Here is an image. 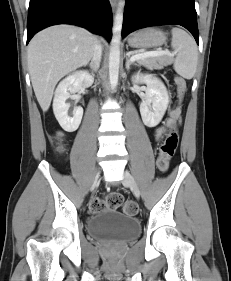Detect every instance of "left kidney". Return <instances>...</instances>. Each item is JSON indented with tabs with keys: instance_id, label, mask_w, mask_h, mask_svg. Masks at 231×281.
<instances>
[{
	"instance_id": "1",
	"label": "left kidney",
	"mask_w": 231,
	"mask_h": 281,
	"mask_svg": "<svg viewBox=\"0 0 231 281\" xmlns=\"http://www.w3.org/2000/svg\"><path fill=\"white\" fill-rule=\"evenodd\" d=\"M132 82L146 84L145 97L140 104L142 121L147 127L157 126L169 104V95L165 85L153 75L141 73L135 74Z\"/></svg>"
}]
</instances>
